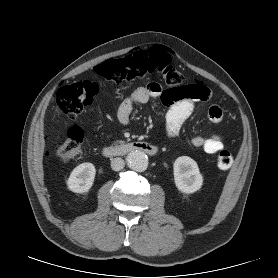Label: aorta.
Listing matches in <instances>:
<instances>
[{
	"label": "aorta",
	"mask_w": 278,
	"mask_h": 278,
	"mask_svg": "<svg viewBox=\"0 0 278 278\" xmlns=\"http://www.w3.org/2000/svg\"><path fill=\"white\" fill-rule=\"evenodd\" d=\"M126 160L128 166L136 172H143L148 167V157L143 151L135 150L130 152Z\"/></svg>",
	"instance_id": "aorta-1"
}]
</instances>
